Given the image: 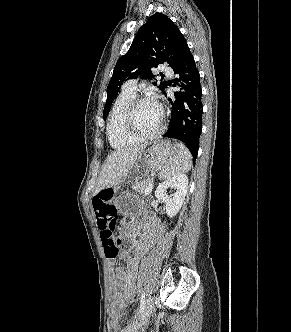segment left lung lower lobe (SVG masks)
I'll return each instance as SVG.
<instances>
[{
    "label": "left lung lower lobe",
    "mask_w": 291,
    "mask_h": 332,
    "mask_svg": "<svg viewBox=\"0 0 291 332\" xmlns=\"http://www.w3.org/2000/svg\"><path fill=\"white\" fill-rule=\"evenodd\" d=\"M179 77L174 80V86L178 85L181 91L175 93L172 105L169 128L163 137L175 138L184 142L195 161L198 147L193 149L194 144L199 142L202 132V89L200 74L195 66L194 58L188 45L184 49L181 59L172 68Z\"/></svg>",
    "instance_id": "0a47b994"
}]
</instances>
